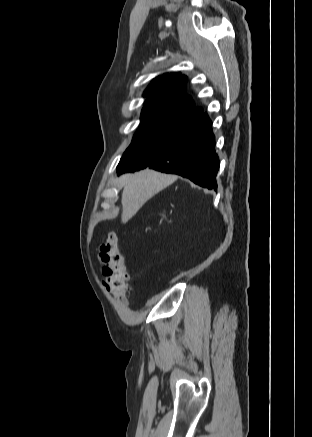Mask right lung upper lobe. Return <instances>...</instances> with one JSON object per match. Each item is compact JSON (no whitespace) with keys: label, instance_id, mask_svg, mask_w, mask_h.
Listing matches in <instances>:
<instances>
[{"label":"right lung upper lobe","instance_id":"cb5924a9","mask_svg":"<svg viewBox=\"0 0 312 437\" xmlns=\"http://www.w3.org/2000/svg\"><path fill=\"white\" fill-rule=\"evenodd\" d=\"M186 80L187 77L181 73L163 74L156 77L144 92V96L147 97L145 107H173L202 115V109H197L193 100L186 94Z\"/></svg>","mask_w":312,"mask_h":437}]
</instances>
